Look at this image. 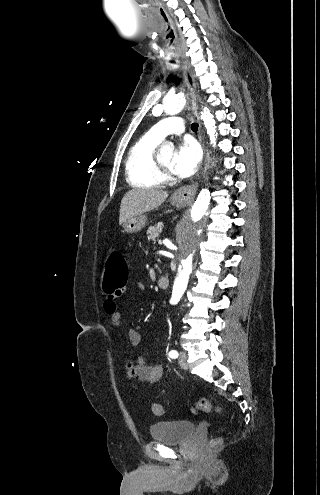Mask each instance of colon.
Segmentation results:
<instances>
[{
	"label": "colon",
	"instance_id": "obj_1",
	"mask_svg": "<svg viewBox=\"0 0 320 495\" xmlns=\"http://www.w3.org/2000/svg\"><path fill=\"white\" fill-rule=\"evenodd\" d=\"M128 279V266L125 258L119 252H113L104 269L103 288L106 293H120ZM155 415H162L164 407L162 404L155 403L152 406ZM193 413H215L224 416L223 410L212 404L208 399H199L192 408ZM222 442L221 437L214 438L210 441L211 448H217Z\"/></svg>",
	"mask_w": 320,
	"mask_h": 495
}]
</instances>
